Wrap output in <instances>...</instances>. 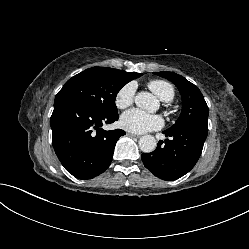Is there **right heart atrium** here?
Returning <instances> with one entry per match:
<instances>
[{
    "label": "right heart atrium",
    "instance_id": "obj_1",
    "mask_svg": "<svg viewBox=\"0 0 249 249\" xmlns=\"http://www.w3.org/2000/svg\"><path fill=\"white\" fill-rule=\"evenodd\" d=\"M136 86L134 83H128L121 87L115 96V104L119 109H125L129 107L135 96Z\"/></svg>",
    "mask_w": 249,
    "mask_h": 249
}]
</instances>
